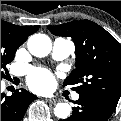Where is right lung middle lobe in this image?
I'll list each match as a JSON object with an SVG mask.
<instances>
[{
	"label": "right lung middle lobe",
	"instance_id": "right-lung-middle-lobe-1",
	"mask_svg": "<svg viewBox=\"0 0 121 121\" xmlns=\"http://www.w3.org/2000/svg\"><path fill=\"white\" fill-rule=\"evenodd\" d=\"M23 43L11 30L1 26V79L5 76L6 64L13 60L17 48Z\"/></svg>",
	"mask_w": 121,
	"mask_h": 121
}]
</instances>
